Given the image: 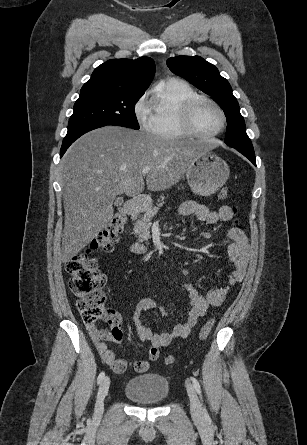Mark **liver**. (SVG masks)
<instances>
[{
  "label": "liver",
  "mask_w": 307,
  "mask_h": 445,
  "mask_svg": "<svg viewBox=\"0 0 307 445\" xmlns=\"http://www.w3.org/2000/svg\"><path fill=\"white\" fill-rule=\"evenodd\" d=\"M196 140H166L145 130L102 126L80 136L63 158L62 263H69L113 218L117 194L165 190L201 154Z\"/></svg>",
  "instance_id": "1"
}]
</instances>
